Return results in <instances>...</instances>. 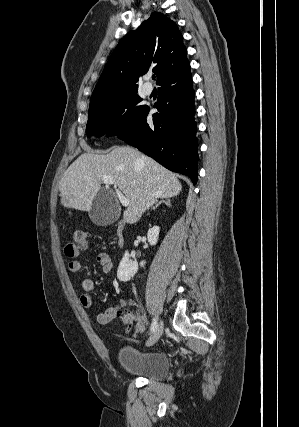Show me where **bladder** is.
Returning <instances> with one entry per match:
<instances>
[{
	"label": "bladder",
	"mask_w": 299,
	"mask_h": 427,
	"mask_svg": "<svg viewBox=\"0 0 299 427\" xmlns=\"http://www.w3.org/2000/svg\"><path fill=\"white\" fill-rule=\"evenodd\" d=\"M119 359L127 374L150 380H161L170 370V362L166 355L139 353L131 346L120 348Z\"/></svg>",
	"instance_id": "obj_1"
}]
</instances>
